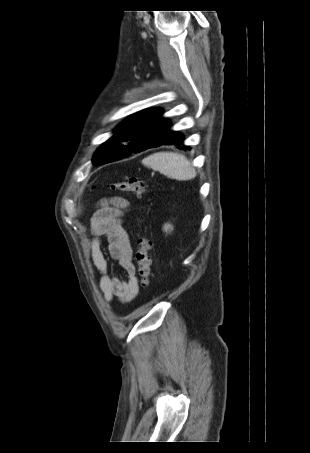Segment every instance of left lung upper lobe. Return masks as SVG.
<instances>
[{
    "mask_svg": "<svg viewBox=\"0 0 310 453\" xmlns=\"http://www.w3.org/2000/svg\"><path fill=\"white\" fill-rule=\"evenodd\" d=\"M161 115L160 109H146L127 118L117 127L115 135L97 150L93 164L118 160L163 139L170 130V124Z\"/></svg>",
    "mask_w": 310,
    "mask_h": 453,
    "instance_id": "left-lung-upper-lobe-1",
    "label": "left lung upper lobe"
}]
</instances>
